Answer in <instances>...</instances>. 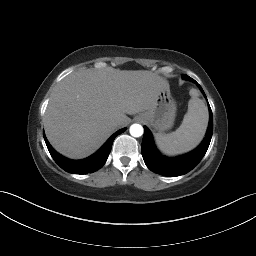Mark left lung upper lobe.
<instances>
[{"instance_id":"left-lung-upper-lobe-1","label":"left lung upper lobe","mask_w":256,"mask_h":256,"mask_svg":"<svg viewBox=\"0 0 256 256\" xmlns=\"http://www.w3.org/2000/svg\"><path fill=\"white\" fill-rule=\"evenodd\" d=\"M182 77H183L184 79H187V78H188V76L185 75V74H183Z\"/></svg>"}]
</instances>
